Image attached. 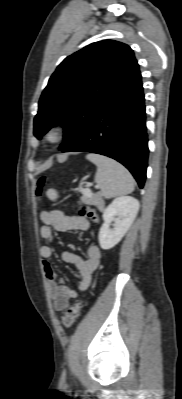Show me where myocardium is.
I'll list each match as a JSON object with an SVG mask.
<instances>
[{
	"label": "myocardium",
	"mask_w": 182,
	"mask_h": 399,
	"mask_svg": "<svg viewBox=\"0 0 182 399\" xmlns=\"http://www.w3.org/2000/svg\"><path fill=\"white\" fill-rule=\"evenodd\" d=\"M66 132V125L63 122L53 123L45 133V140L47 143L56 144L60 142Z\"/></svg>",
	"instance_id": "obj_1"
}]
</instances>
